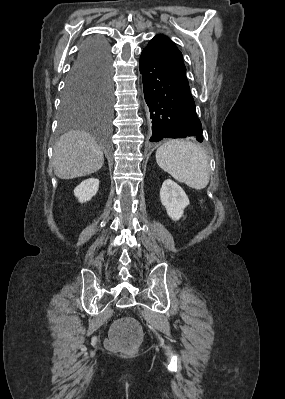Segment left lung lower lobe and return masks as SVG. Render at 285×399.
<instances>
[{
  "instance_id": "0a47b994",
  "label": "left lung lower lobe",
  "mask_w": 285,
  "mask_h": 399,
  "mask_svg": "<svg viewBox=\"0 0 285 399\" xmlns=\"http://www.w3.org/2000/svg\"><path fill=\"white\" fill-rule=\"evenodd\" d=\"M139 70L152 120L150 142L187 136L202 142V126L188 81L174 74L146 48L141 53Z\"/></svg>"
}]
</instances>
